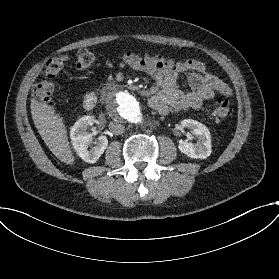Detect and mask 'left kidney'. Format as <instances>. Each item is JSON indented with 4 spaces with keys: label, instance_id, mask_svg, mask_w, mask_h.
Segmentation results:
<instances>
[{
    "label": "left kidney",
    "instance_id": "1",
    "mask_svg": "<svg viewBox=\"0 0 279 279\" xmlns=\"http://www.w3.org/2000/svg\"><path fill=\"white\" fill-rule=\"evenodd\" d=\"M182 125L197 137V142L193 144L181 140L178 145L180 152L191 159H207L211 155V135L208 128L192 119H185Z\"/></svg>",
    "mask_w": 279,
    "mask_h": 279
}]
</instances>
